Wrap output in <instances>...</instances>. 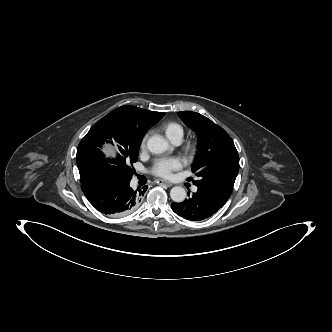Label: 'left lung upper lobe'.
Masks as SVG:
<instances>
[{
	"label": "left lung upper lobe",
	"instance_id": "left-lung-upper-lobe-1",
	"mask_svg": "<svg viewBox=\"0 0 332 332\" xmlns=\"http://www.w3.org/2000/svg\"><path fill=\"white\" fill-rule=\"evenodd\" d=\"M178 116L198 136L199 151L192 171L199 180L193 184L227 202L239 170L233 140L224 129L199 113L184 111L178 112Z\"/></svg>",
	"mask_w": 332,
	"mask_h": 332
}]
</instances>
